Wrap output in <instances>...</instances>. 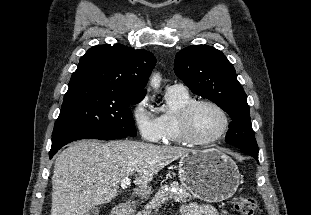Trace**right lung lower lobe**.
Wrapping results in <instances>:
<instances>
[{
  "label": "right lung lower lobe",
  "instance_id": "right-lung-lower-lobe-1",
  "mask_svg": "<svg viewBox=\"0 0 311 215\" xmlns=\"http://www.w3.org/2000/svg\"><path fill=\"white\" fill-rule=\"evenodd\" d=\"M127 137V135L125 134H83V135H75V136H71V137H66L63 139H59L56 141H53L52 146H51V150L49 152V158L51 159L53 157V155L64 145L72 142V141H76V140H80V139H100V140H113V139H118V138H125Z\"/></svg>",
  "mask_w": 311,
  "mask_h": 215
}]
</instances>
